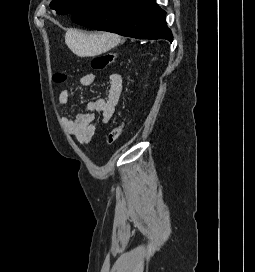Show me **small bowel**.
I'll use <instances>...</instances> for the list:
<instances>
[{"label":"small bowel","mask_w":255,"mask_h":272,"mask_svg":"<svg viewBox=\"0 0 255 272\" xmlns=\"http://www.w3.org/2000/svg\"><path fill=\"white\" fill-rule=\"evenodd\" d=\"M96 81L94 74H85L80 78L79 86L88 87ZM124 87L123 75L120 72H112L108 76V88L105 98H97L87 102L85 113L77 114L73 117L64 116L63 123L68 132L81 144H88L97 127L98 115L102 123H108L114 115L119 104ZM69 91L63 90L59 95V101L67 104L69 101Z\"/></svg>","instance_id":"small-bowel-1"}]
</instances>
